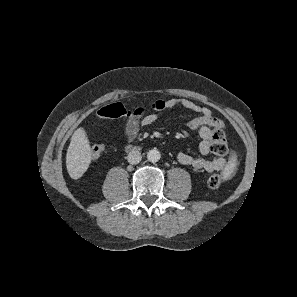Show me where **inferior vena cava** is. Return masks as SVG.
Segmentation results:
<instances>
[{
    "mask_svg": "<svg viewBox=\"0 0 297 297\" xmlns=\"http://www.w3.org/2000/svg\"><path fill=\"white\" fill-rule=\"evenodd\" d=\"M127 160L130 164H138L142 160V155L139 151H131L127 156Z\"/></svg>",
    "mask_w": 297,
    "mask_h": 297,
    "instance_id": "602c4592",
    "label": "inferior vena cava"
}]
</instances>
